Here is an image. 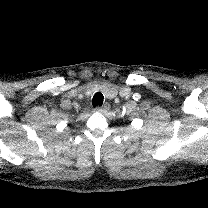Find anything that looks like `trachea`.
<instances>
[{
	"label": "trachea",
	"instance_id": "trachea-1",
	"mask_svg": "<svg viewBox=\"0 0 208 208\" xmlns=\"http://www.w3.org/2000/svg\"><path fill=\"white\" fill-rule=\"evenodd\" d=\"M103 101H104L103 94L100 93V92H97V93L93 96V99H92V105H93L94 108H95V107H98V106H102Z\"/></svg>",
	"mask_w": 208,
	"mask_h": 208
}]
</instances>
